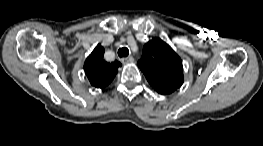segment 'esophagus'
Here are the masks:
<instances>
[{"label": "esophagus", "mask_w": 263, "mask_h": 146, "mask_svg": "<svg viewBox=\"0 0 263 146\" xmlns=\"http://www.w3.org/2000/svg\"><path fill=\"white\" fill-rule=\"evenodd\" d=\"M134 61V58L133 57H127V58H122L121 59V62L126 64V63H131Z\"/></svg>", "instance_id": "obj_1"}]
</instances>
